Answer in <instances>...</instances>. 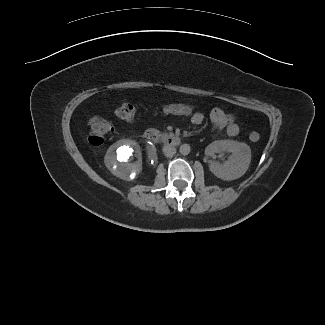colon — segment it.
Here are the masks:
<instances>
[{
    "mask_svg": "<svg viewBox=\"0 0 325 325\" xmlns=\"http://www.w3.org/2000/svg\"><path fill=\"white\" fill-rule=\"evenodd\" d=\"M158 111L170 116L192 117L197 111L195 107L185 103H166L157 108ZM116 115L125 123H130L135 116V108L130 103L121 104ZM88 140L94 146L101 145L110 132L113 131V126L110 121L102 117H91L87 123ZM249 139L252 142H257L260 139V134L252 131L249 134Z\"/></svg>",
    "mask_w": 325,
    "mask_h": 325,
    "instance_id": "colon-1",
    "label": "colon"
}]
</instances>
